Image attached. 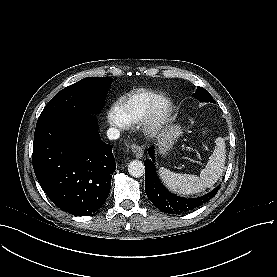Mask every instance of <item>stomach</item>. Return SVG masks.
<instances>
[{"mask_svg": "<svg viewBox=\"0 0 277 277\" xmlns=\"http://www.w3.org/2000/svg\"><path fill=\"white\" fill-rule=\"evenodd\" d=\"M182 130L178 125L168 126L158 138V153L165 157L172 148L174 141L181 135Z\"/></svg>", "mask_w": 277, "mask_h": 277, "instance_id": "1", "label": "stomach"}]
</instances>
